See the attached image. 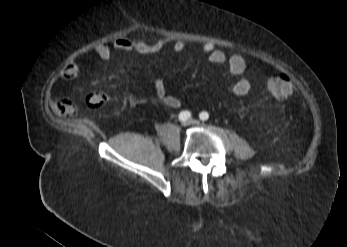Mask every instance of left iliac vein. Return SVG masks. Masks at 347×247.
Wrapping results in <instances>:
<instances>
[{"instance_id":"obj_1","label":"left iliac vein","mask_w":347,"mask_h":247,"mask_svg":"<svg viewBox=\"0 0 347 247\" xmlns=\"http://www.w3.org/2000/svg\"><path fill=\"white\" fill-rule=\"evenodd\" d=\"M190 123L194 124V125H198L199 124V122L197 120H191Z\"/></svg>"}]
</instances>
